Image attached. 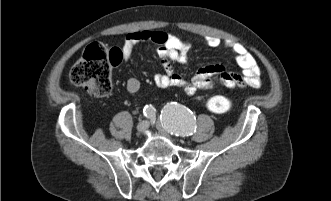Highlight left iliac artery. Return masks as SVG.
Here are the masks:
<instances>
[{"label":"left iliac artery","instance_id":"left-iliac-artery-1","mask_svg":"<svg viewBox=\"0 0 331 201\" xmlns=\"http://www.w3.org/2000/svg\"><path fill=\"white\" fill-rule=\"evenodd\" d=\"M162 125L171 134L189 136L195 133V116L183 105L168 103L161 111Z\"/></svg>","mask_w":331,"mask_h":201}]
</instances>
